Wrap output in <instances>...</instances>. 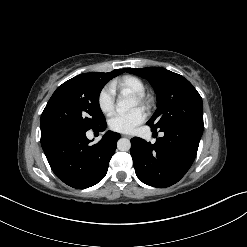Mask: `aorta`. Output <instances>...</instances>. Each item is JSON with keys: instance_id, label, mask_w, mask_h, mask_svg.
Wrapping results in <instances>:
<instances>
[{"instance_id": "1", "label": "aorta", "mask_w": 247, "mask_h": 247, "mask_svg": "<svg viewBox=\"0 0 247 247\" xmlns=\"http://www.w3.org/2000/svg\"><path fill=\"white\" fill-rule=\"evenodd\" d=\"M136 105V102L129 97H120L117 100V111L124 112ZM117 148L120 151H128L131 148V142L127 138H120L117 142Z\"/></svg>"}]
</instances>
